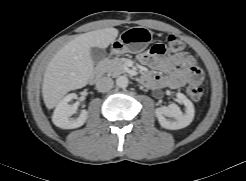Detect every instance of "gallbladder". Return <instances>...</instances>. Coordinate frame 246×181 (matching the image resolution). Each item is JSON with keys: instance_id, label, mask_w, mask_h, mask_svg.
<instances>
[{"instance_id": "1", "label": "gallbladder", "mask_w": 246, "mask_h": 181, "mask_svg": "<svg viewBox=\"0 0 246 181\" xmlns=\"http://www.w3.org/2000/svg\"><path fill=\"white\" fill-rule=\"evenodd\" d=\"M90 54L94 64H98L105 58L106 51L103 48L91 47Z\"/></svg>"}]
</instances>
